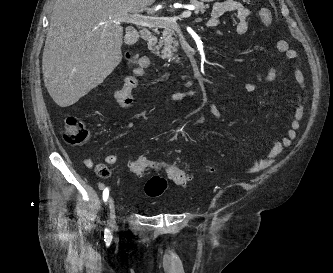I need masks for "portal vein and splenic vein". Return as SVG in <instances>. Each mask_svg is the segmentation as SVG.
<instances>
[{
    "label": "portal vein and splenic vein",
    "mask_w": 333,
    "mask_h": 273,
    "mask_svg": "<svg viewBox=\"0 0 333 273\" xmlns=\"http://www.w3.org/2000/svg\"><path fill=\"white\" fill-rule=\"evenodd\" d=\"M193 8H190L187 11H184L179 17L174 16V17H152V16H143L139 14H127L123 17H120L118 19V22L114 21V23H119V22H126V23H131L143 27H148V28H154V27H159V28H166L168 26H172L176 24L177 19L179 18H188L191 16V10Z\"/></svg>",
    "instance_id": "18ae733b"
}]
</instances>
